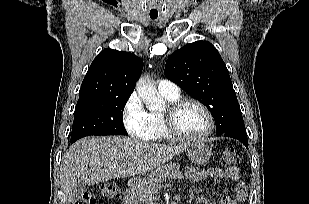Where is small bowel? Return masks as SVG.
I'll list each match as a JSON object with an SVG mask.
<instances>
[{
  "label": "small bowel",
  "mask_w": 309,
  "mask_h": 204,
  "mask_svg": "<svg viewBox=\"0 0 309 204\" xmlns=\"http://www.w3.org/2000/svg\"><path fill=\"white\" fill-rule=\"evenodd\" d=\"M188 176L191 180L204 178L224 179L235 182V193L233 197L224 196L221 204H242L248 195L246 184L240 179V170L237 167L226 169L210 168L207 170L199 168H189Z\"/></svg>",
  "instance_id": "obj_1"
}]
</instances>
